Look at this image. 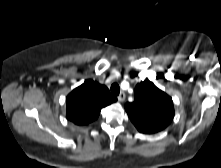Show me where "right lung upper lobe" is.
Returning a JSON list of instances; mask_svg holds the SVG:
<instances>
[{
	"instance_id": "cb5924a9",
	"label": "right lung upper lobe",
	"mask_w": 221,
	"mask_h": 168,
	"mask_svg": "<svg viewBox=\"0 0 221 168\" xmlns=\"http://www.w3.org/2000/svg\"><path fill=\"white\" fill-rule=\"evenodd\" d=\"M116 101L106 86L86 80L66 98L67 119L76 125L88 124L99 116L103 107Z\"/></svg>"
}]
</instances>
